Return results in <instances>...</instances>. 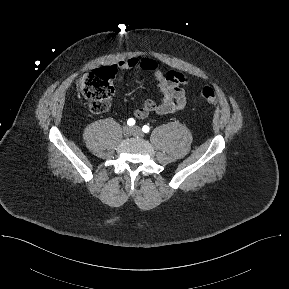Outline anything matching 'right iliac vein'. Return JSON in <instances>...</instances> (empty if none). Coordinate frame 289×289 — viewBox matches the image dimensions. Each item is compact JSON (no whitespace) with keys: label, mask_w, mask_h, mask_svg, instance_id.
<instances>
[{"label":"right iliac vein","mask_w":289,"mask_h":289,"mask_svg":"<svg viewBox=\"0 0 289 289\" xmlns=\"http://www.w3.org/2000/svg\"><path fill=\"white\" fill-rule=\"evenodd\" d=\"M123 134H124V136H126V137L131 136V135L133 134L132 128L129 127V126H125V127L123 128Z\"/></svg>","instance_id":"63e3f726"}]
</instances>
